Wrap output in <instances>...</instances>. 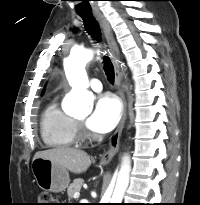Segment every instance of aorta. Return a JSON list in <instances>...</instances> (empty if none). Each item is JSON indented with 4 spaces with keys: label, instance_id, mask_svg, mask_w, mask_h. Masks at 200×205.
<instances>
[{
    "label": "aorta",
    "instance_id": "aorta-1",
    "mask_svg": "<svg viewBox=\"0 0 200 205\" xmlns=\"http://www.w3.org/2000/svg\"><path fill=\"white\" fill-rule=\"evenodd\" d=\"M92 49L78 48L71 52L64 60V70L72 91L68 95L69 108L73 113L88 115L93 108V95L87 88L89 81L85 71L86 64L93 58ZM131 160L128 155L123 158L120 171L117 175L114 191L105 194L101 203L119 204L122 202L129 185Z\"/></svg>",
    "mask_w": 200,
    "mask_h": 205
}]
</instances>
